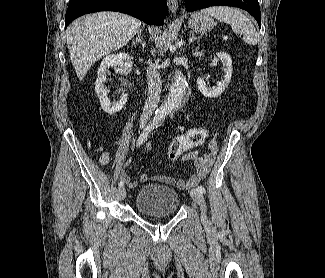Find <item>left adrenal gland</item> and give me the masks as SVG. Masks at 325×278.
Listing matches in <instances>:
<instances>
[{"mask_svg":"<svg viewBox=\"0 0 325 278\" xmlns=\"http://www.w3.org/2000/svg\"><path fill=\"white\" fill-rule=\"evenodd\" d=\"M200 39L199 37L194 36V32L190 31L189 43H193L195 40Z\"/></svg>","mask_w":325,"mask_h":278,"instance_id":"a2214340","label":"left adrenal gland"}]
</instances>
